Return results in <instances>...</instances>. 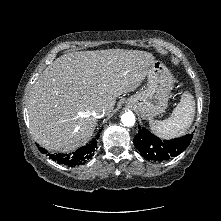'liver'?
<instances>
[{"instance_id":"liver-1","label":"liver","mask_w":221,"mask_h":221,"mask_svg":"<svg viewBox=\"0 0 221 221\" xmlns=\"http://www.w3.org/2000/svg\"><path fill=\"white\" fill-rule=\"evenodd\" d=\"M154 61L151 53L124 49L58 57L39 76L28 100L32 136L54 152L84 145L97 125L93 110L103 107L110 114L116 97L136 90Z\"/></svg>"}]
</instances>
